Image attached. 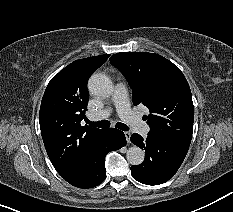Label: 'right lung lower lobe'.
I'll list each match as a JSON object with an SVG mask.
<instances>
[{
	"mask_svg": "<svg viewBox=\"0 0 233 212\" xmlns=\"http://www.w3.org/2000/svg\"><path fill=\"white\" fill-rule=\"evenodd\" d=\"M125 145L126 139L122 131L115 128L104 129L86 164L64 179L79 188H92L101 184L106 178L104 165L106 154Z\"/></svg>",
	"mask_w": 233,
	"mask_h": 212,
	"instance_id": "98d812e1",
	"label": "right lung lower lobe"
}]
</instances>
